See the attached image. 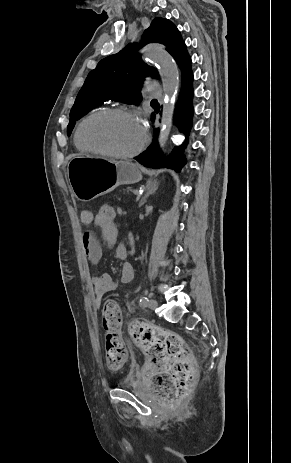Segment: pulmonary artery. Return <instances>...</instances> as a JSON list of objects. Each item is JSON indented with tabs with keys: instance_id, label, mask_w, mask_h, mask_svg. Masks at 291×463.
I'll list each match as a JSON object with an SVG mask.
<instances>
[{
	"instance_id": "obj_1",
	"label": "pulmonary artery",
	"mask_w": 291,
	"mask_h": 463,
	"mask_svg": "<svg viewBox=\"0 0 291 463\" xmlns=\"http://www.w3.org/2000/svg\"><path fill=\"white\" fill-rule=\"evenodd\" d=\"M148 93L152 98H159L162 95V90L158 84L154 81L147 82Z\"/></svg>"
}]
</instances>
